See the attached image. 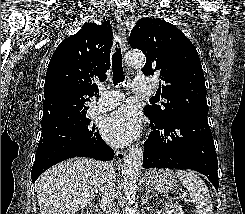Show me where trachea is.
<instances>
[{
    "label": "trachea",
    "mask_w": 245,
    "mask_h": 214,
    "mask_svg": "<svg viewBox=\"0 0 245 214\" xmlns=\"http://www.w3.org/2000/svg\"><path fill=\"white\" fill-rule=\"evenodd\" d=\"M116 51L112 55V68H113V83L114 85H117L118 83H121L124 81V71L122 67V55H121V49L119 47V43H117ZM151 100H154L151 98Z\"/></svg>",
    "instance_id": "1"
}]
</instances>
